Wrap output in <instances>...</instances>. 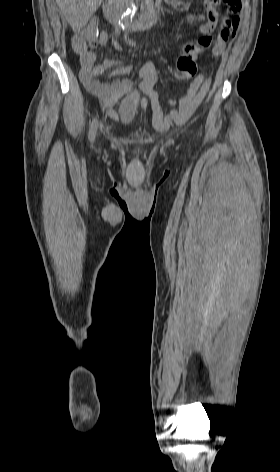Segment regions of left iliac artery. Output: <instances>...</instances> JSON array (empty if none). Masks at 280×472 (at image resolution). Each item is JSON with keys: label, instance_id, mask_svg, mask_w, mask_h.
<instances>
[{"label": "left iliac artery", "instance_id": "44dca946", "mask_svg": "<svg viewBox=\"0 0 280 472\" xmlns=\"http://www.w3.org/2000/svg\"><path fill=\"white\" fill-rule=\"evenodd\" d=\"M123 29H125V28L123 27ZM126 37H127V34H125V38H126ZM129 43L133 45V42H132V41H129Z\"/></svg>", "mask_w": 280, "mask_h": 472}]
</instances>
